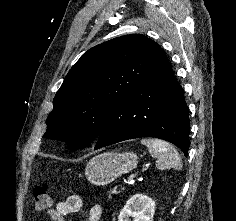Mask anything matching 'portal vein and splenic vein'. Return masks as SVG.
<instances>
[{
    "label": "portal vein and splenic vein",
    "mask_w": 236,
    "mask_h": 221,
    "mask_svg": "<svg viewBox=\"0 0 236 221\" xmlns=\"http://www.w3.org/2000/svg\"><path fill=\"white\" fill-rule=\"evenodd\" d=\"M135 175H132L128 181L126 182V184H129L131 181H134Z\"/></svg>",
    "instance_id": "obj_1"
}]
</instances>
